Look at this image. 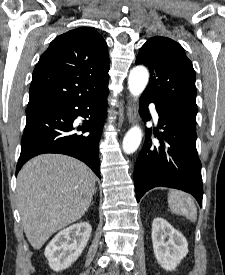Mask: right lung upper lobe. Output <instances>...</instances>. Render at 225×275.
<instances>
[{
    "mask_svg": "<svg viewBox=\"0 0 225 275\" xmlns=\"http://www.w3.org/2000/svg\"><path fill=\"white\" fill-rule=\"evenodd\" d=\"M109 54L102 36L78 28L56 37L37 63L27 110L92 96L108 84Z\"/></svg>",
    "mask_w": 225,
    "mask_h": 275,
    "instance_id": "obj_1",
    "label": "right lung upper lobe"
}]
</instances>
